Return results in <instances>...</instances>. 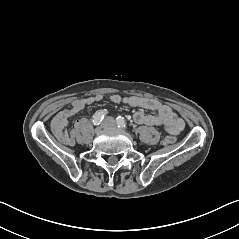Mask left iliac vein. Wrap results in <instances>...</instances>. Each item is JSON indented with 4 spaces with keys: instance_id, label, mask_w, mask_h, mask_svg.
<instances>
[{
    "instance_id": "obj_1",
    "label": "left iliac vein",
    "mask_w": 239,
    "mask_h": 239,
    "mask_svg": "<svg viewBox=\"0 0 239 239\" xmlns=\"http://www.w3.org/2000/svg\"><path fill=\"white\" fill-rule=\"evenodd\" d=\"M106 121L109 123L110 126H115V122L111 117H108Z\"/></svg>"
}]
</instances>
